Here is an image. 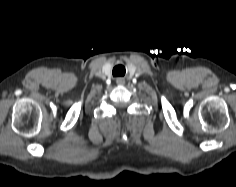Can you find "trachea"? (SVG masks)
<instances>
[{"instance_id": "trachea-1", "label": "trachea", "mask_w": 236, "mask_h": 187, "mask_svg": "<svg viewBox=\"0 0 236 187\" xmlns=\"http://www.w3.org/2000/svg\"><path fill=\"white\" fill-rule=\"evenodd\" d=\"M125 73H126L125 67L121 64L116 65L112 70V74L114 77H122L125 75Z\"/></svg>"}]
</instances>
